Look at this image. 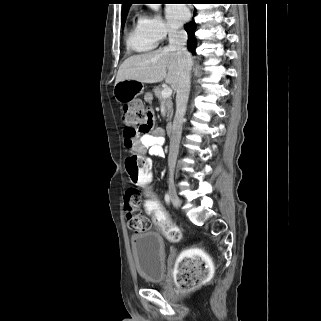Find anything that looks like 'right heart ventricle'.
<instances>
[{
  "label": "right heart ventricle",
  "instance_id": "right-heart-ventricle-1",
  "mask_svg": "<svg viewBox=\"0 0 321 321\" xmlns=\"http://www.w3.org/2000/svg\"><path fill=\"white\" fill-rule=\"evenodd\" d=\"M126 44L131 51L144 53L154 49L157 45V40L146 32L139 19L129 29Z\"/></svg>",
  "mask_w": 321,
  "mask_h": 321
}]
</instances>
